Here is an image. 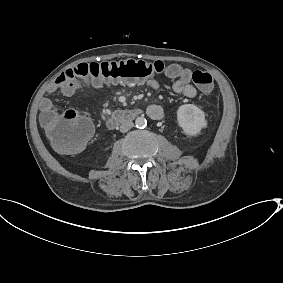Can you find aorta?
I'll list each match as a JSON object with an SVG mask.
<instances>
[{
    "instance_id": "1",
    "label": "aorta",
    "mask_w": 283,
    "mask_h": 283,
    "mask_svg": "<svg viewBox=\"0 0 283 283\" xmlns=\"http://www.w3.org/2000/svg\"><path fill=\"white\" fill-rule=\"evenodd\" d=\"M135 125L137 128H145L147 125V121L144 117H138L135 120Z\"/></svg>"
}]
</instances>
